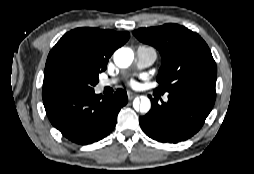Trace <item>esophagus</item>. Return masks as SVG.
<instances>
[{"label": "esophagus", "mask_w": 254, "mask_h": 174, "mask_svg": "<svg viewBox=\"0 0 254 174\" xmlns=\"http://www.w3.org/2000/svg\"><path fill=\"white\" fill-rule=\"evenodd\" d=\"M138 95L137 94H135V93H133V92H128V99L129 100H132V99H134L135 97H137Z\"/></svg>", "instance_id": "34e87169"}]
</instances>
